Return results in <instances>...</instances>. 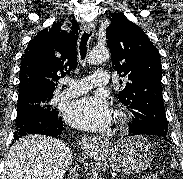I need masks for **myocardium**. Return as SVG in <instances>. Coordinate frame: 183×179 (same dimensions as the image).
Returning a JSON list of instances; mask_svg holds the SVG:
<instances>
[{
    "label": "myocardium",
    "instance_id": "f54148a6",
    "mask_svg": "<svg viewBox=\"0 0 183 179\" xmlns=\"http://www.w3.org/2000/svg\"><path fill=\"white\" fill-rule=\"evenodd\" d=\"M128 120V113L123 108H117L113 114V122L115 125H123Z\"/></svg>",
    "mask_w": 183,
    "mask_h": 179
}]
</instances>
